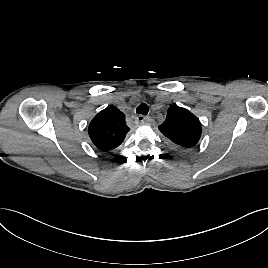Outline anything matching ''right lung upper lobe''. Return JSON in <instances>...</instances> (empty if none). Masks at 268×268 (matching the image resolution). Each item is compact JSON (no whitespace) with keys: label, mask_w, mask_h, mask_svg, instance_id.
<instances>
[{"label":"right lung upper lobe","mask_w":268,"mask_h":268,"mask_svg":"<svg viewBox=\"0 0 268 268\" xmlns=\"http://www.w3.org/2000/svg\"><path fill=\"white\" fill-rule=\"evenodd\" d=\"M129 130L124 113L115 106H108L92 119L88 134L99 150L107 152L117 148Z\"/></svg>","instance_id":"right-lung-upper-lobe-1"}]
</instances>
